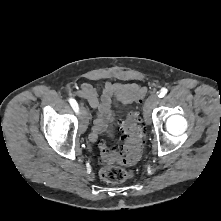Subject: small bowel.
<instances>
[{"mask_svg": "<svg viewBox=\"0 0 221 221\" xmlns=\"http://www.w3.org/2000/svg\"><path fill=\"white\" fill-rule=\"evenodd\" d=\"M144 93V89L135 83H111L102 85L101 92L90 83H82L77 89L71 92L72 95L79 96L88 101L95 113V120L90 140L97 141L99 135L105 132L112 123L111 101L116 97L122 102H132L139 99Z\"/></svg>", "mask_w": 221, "mask_h": 221, "instance_id": "1", "label": "small bowel"}]
</instances>
